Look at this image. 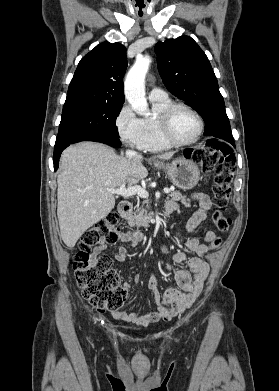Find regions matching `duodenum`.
<instances>
[{"mask_svg":"<svg viewBox=\"0 0 279 391\" xmlns=\"http://www.w3.org/2000/svg\"><path fill=\"white\" fill-rule=\"evenodd\" d=\"M118 211H119L120 216L123 219L127 220V219H129V217L131 215L132 204L129 201H122V202H120V204L118 206ZM165 211H166V215H169L171 213L170 210H168V209H165ZM140 238H141V236L139 234L134 235L135 240H139Z\"/></svg>","mask_w":279,"mask_h":391,"instance_id":"410a0bca","label":"duodenum"}]
</instances>
